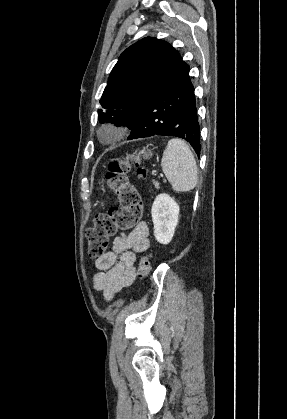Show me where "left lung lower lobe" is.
Wrapping results in <instances>:
<instances>
[{
    "label": "left lung lower lobe",
    "instance_id": "0a47b994",
    "mask_svg": "<svg viewBox=\"0 0 287 419\" xmlns=\"http://www.w3.org/2000/svg\"><path fill=\"white\" fill-rule=\"evenodd\" d=\"M189 69L145 103L127 140L154 135L180 137L200 155V126Z\"/></svg>",
    "mask_w": 287,
    "mask_h": 419
}]
</instances>
